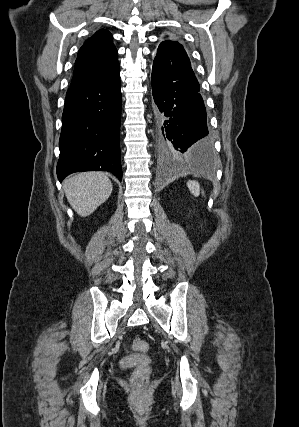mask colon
Segmentation results:
<instances>
[{
	"label": "colon",
	"mask_w": 299,
	"mask_h": 427,
	"mask_svg": "<svg viewBox=\"0 0 299 427\" xmlns=\"http://www.w3.org/2000/svg\"><path fill=\"white\" fill-rule=\"evenodd\" d=\"M148 348V344L141 339L136 338L132 342V349L135 351L146 352ZM150 372L151 370L147 366H139L133 372L131 383L138 392H142L147 388Z\"/></svg>",
	"instance_id": "colon-1"
}]
</instances>
